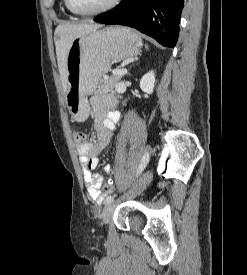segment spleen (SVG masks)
Listing matches in <instances>:
<instances>
[{
  "label": "spleen",
  "instance_id": "obj_1",
  "mask_svg": "<svg viewBox=\"0 0 247 275\" xmlns=\"http://www.w3.org/2000/svg\"><path fill=\"white\" fill-rule=\"evenodd\" d=\"M146 49H148V45H145Z\"/></svg>",
  "mask_w": 247,
  "mask_h": 275
}]
</instances>
